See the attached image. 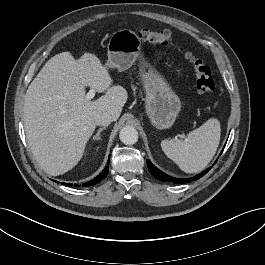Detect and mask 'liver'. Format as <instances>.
I'll list each match as a JSON object with an SVG mask.
<instances>
[{"label": "liver", "instance_id": "obj_1", "mask_svg": "<svg viewBox=\"0 0 265 265\" xmlns=\"http://www.w3.org/2000/svg\"><path fill=\"white\" fill-rule=\"evenodd\" d=\"M113 80L99 58L70 52L49 59L29 85L24 99L28 145L40 167L52 176L74 168L95 131V117L107 112L114 121L127 101V91ZM86 86L105 95L86 100Z\"/></svg>", "mask_w": 265, "mask_h": 265}]
</instances>
